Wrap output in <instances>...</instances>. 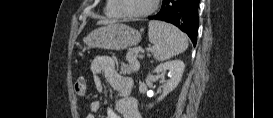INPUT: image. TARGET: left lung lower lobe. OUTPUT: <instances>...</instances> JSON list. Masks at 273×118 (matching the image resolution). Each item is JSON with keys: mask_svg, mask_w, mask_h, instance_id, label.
Segmentation results:
<instances>
[{"mask_svg": "<svg viewBox=\"0 0 273 118\" xmlns=\"http://www.w3.org/2000/svg\"><path fill=\"white\" fill-rule=\"evenodd\" d=\"M199 0H163L159 13L149 16L151 20L169 22L184 31L196 45L198 34Z\"/></svg>", "mask_w": 273, "mask_h": 118, "instance_id": "left-lung-lower-lobe-1", "label": "left lung lower lobe"}]
</instances>
